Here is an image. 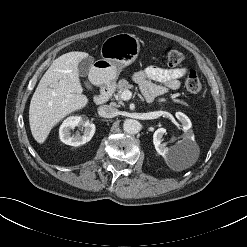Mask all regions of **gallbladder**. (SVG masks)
Masks as SVG:
<instances>
[{"label": "gallbladder", "instance_id": "gallbladder-1", "mask_svg": "<svg viewBox=\"0 0 247 247\" xmlns=\"http://www.w3.org/2000/svg\"><path fill=\"white\" fill-rule=\"evenodd\" d=\"M94 63V59L91 56H88L81 60L78 64V73L80 76L85 77L89 74ZM87 89H92V86L89 82L85 83Z\"/></svg>", "mask_w": 247, "mask_h": 247}]
</instances>
